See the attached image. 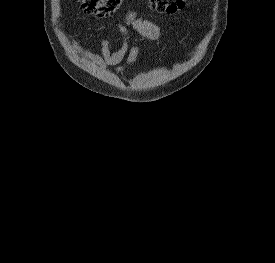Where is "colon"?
Segmentation results:
<instances>
[{"instance_id":"obj_1","label":"colon","mask_w":275,"mask_h":263,"mask_svg":"<svg viewBox=\"0 0 275 263\" xmlns=\"http://www.w3.org/2000/svg\"><path fill=\"white\" fill-rule=\"evenodd\" d=\"M81 9L97 17H109L115 14L125 0H77ZM151 9L158 12L177 13L185 8L186 0H148Z\"/></svg>"}]
</instances>
